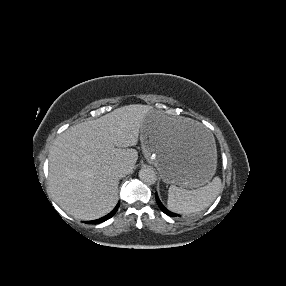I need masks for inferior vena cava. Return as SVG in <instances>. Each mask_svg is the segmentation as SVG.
<instances>
[{
    "label": "inferior vena cava",
    "instance_id": "1",
    "mask_svg": "<svg viewBox=\"0 0 286 286\" xmlns=\"http://www.w3.org/2000/svg\"><path fill=\"white\" fill-rule=\"evenodd\" d=\"M113 173L117 178H122L127 175V169L124 165H116L113 168Z\"/></svg>",
    "mask_w": 286,
    "mask_h": 286
}]
</instances>
